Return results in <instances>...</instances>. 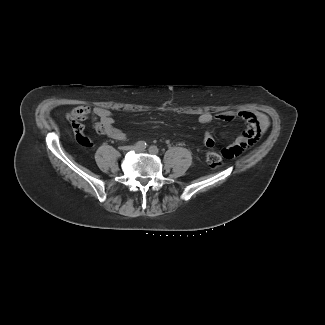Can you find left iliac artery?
Returning <instances> with one entry per match:
<instances>
[{
    "label": "left iliac artery",
    "instance_id": "left-iliac-artery-1",
    "mask_svg": "<svg viewBox=\"0 0 325 325\" xmlns=\"http://www.w3.org/2000/svg\"><path fill=\"white\" fill-rule=\"evenodd\" d=\"M158 148L156 146H150L149 152L152 154H157L158 153Z\"/></svg>",
    "mask_w": 325,
    "mask_h": 325
}]
</instances>
